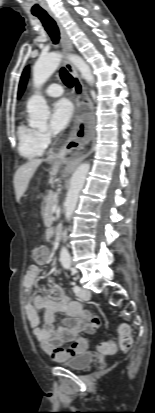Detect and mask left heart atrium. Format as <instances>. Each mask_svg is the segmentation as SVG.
Instances as JSON below:
<instances>
[{"label": "left heart atrium", "mask_w": 155, "mask_h": 413, "mask_svg": "<svg viewBox=\"0 0 155 413\" xmlns=\"http://www.w3.org/2000/svg\"><path fill=\"white\" fill-rule=\"evenodd\" d=\"M73 117V106L66 100L62 99L54 103L51 113V128L55 133L64 130Z\"/></svg>", "instance_id": "obj_1"}]
</instances>
